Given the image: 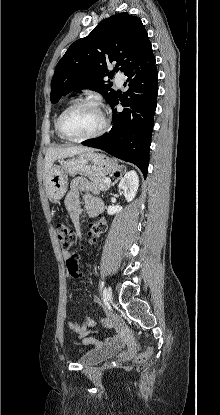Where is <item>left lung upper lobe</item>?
Instances as JSON below:
<instances>
[{
	"mask_svg": "<svg viewBox=\"0 0 220 415\" xmlns=\"http://www.w3.org/2000/svg\"><path fill=\"white\" fill-rule=\"evenodd\" d=\"M153 50L142 21L127 12L101 21L85 38L74 42L58 62L52 78L51 102L78 89H91L109 103L116 94L104 77L144 64ZM116 63L110 73L108 63ZM121 66L120 68H118Z\"/></svg>",
	"mask_w": 220,
	"mask_h": 415,
	"instance_id": "5c2ea615",
	"label": "left lung upper lobe"
}]
</instances>
